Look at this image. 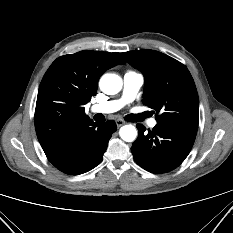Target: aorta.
Instances as JSON below:
<instances>
[{"instance_id":"1","label":"aorta","mask_w":233,"mask_h":233,"mask_svg":"<svg viewBox=\"0 0 233 233\" xmlns=\"http://www.w3.org/2000/svg\"><path fill=\"white\" fill-rule=\"evenodd\" d=\"M100 89L108 94H117L122 88V79L116 74H104L99 82ZM120 137L126 142H133L137 137L136 128L133 125H124L119 131Z\"/></svg>"}]
</instances>
